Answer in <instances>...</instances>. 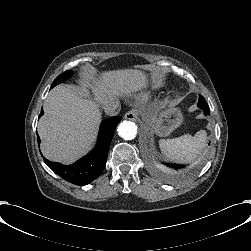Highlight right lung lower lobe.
<instances>
[{
	"label": "right lung lower lobe",
	"instance_id": "obj_1",
	"mask_svg": "<svg viewBox=\"0 0 251 251\" xmlns=\"http://www.w3.org/2000/svg\"><path fill=\"white\" fill-rule=\"evenodd\" d=\"M43 114V110L39 117ZM120 116L110 117L101 123L96 149L76 163L65 166L44 158L45 164L63 179L75 185H86L95 180L106 166L108 150ZM38 137V144L40 138Z\"/></svg>",
	"mask_w": 251,
	"mask_h": 251
}]
</instances>
